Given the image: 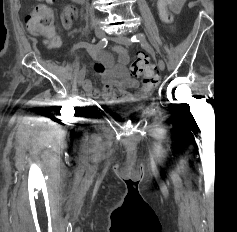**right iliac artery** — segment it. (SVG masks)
<instances>
[{
    "label": "right iliac artery",
    "mask_w": 237,
    "mask_h": 232,
    "mask_svg": "<svg viewBox=\"0 0 237 232\" xmlns=\"http://www.w3.org/2000/svg\"><path fill=\"white\" fill-rule=\"evenodd\" d=\"M107 44H108V41L106 38L101 39L96 45H92L88 42H78L73 45V47L71 49V53H73L76 49L83 48V47H85V48L93 47L96 50H100V49L105 48L107 46Z\"/></svg>",
    "instance_id": "right-iliac-artery-1"
}]
</instances>
